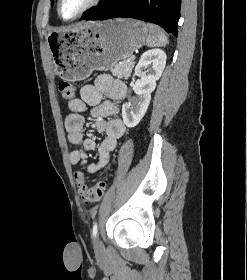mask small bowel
I'll return each instance as SVG.
<instances>
[{"label": "small bowel", "instance_id": "obj_1", "mask_svg": "<svg viewBox=\"0 0 247 280\" xmlns=\"http://www.w3.org/2000/svg\"><path fill=\"white\" fill-rule=\"evenodd\" d=\"M126 92V85L122 81L113 79L109 75H101L94 84L84 85L80 89V98L68 103L70 113L64 121L68 140L72 145L80 147L70 152L71 164L84 167L87 163L88 152L95 148L94 140L84 138L83 134L85 124L83 113L87 107H90V115L95 119L96 130L105 133V137L98 147L97 162L89 164L86 170L92 174L108 164L110 153L125 133L124 122L115 117L117 113L115 102L122 100ZM103 96H106L108 100L102 101Z\"/></svg>", "mask_w": 247, "mask_h": 280}]
</instances>
